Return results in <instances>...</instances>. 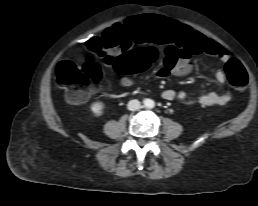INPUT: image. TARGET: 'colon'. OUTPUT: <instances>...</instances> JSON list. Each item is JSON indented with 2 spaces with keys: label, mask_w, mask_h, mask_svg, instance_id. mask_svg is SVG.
<instances>
[{
  "label": "colon",
  "mask_w": 258,
  "mask_h": 206,
  "mask_svg": "<svg viewBox=\"0 0 258 206\" xmlns=\"http://www.w3.org/2000/svg\"><path fill=\"white\" fill-rule=\"evenodd\" d=\"M119 34L123 33L118 28ZM93 52L87 56L81 65L65 60L56 68V82L65 89L66 98L72 104L83 103L103 82L101 63L114 67L124 74L140 73L147 70L156 59V51L143 48L114 57L105 52L99 40L91 41ZM225 74L229 83L237 90H244L248 84V75L243 65L234 58L225 64Z\"/></svg>",
  "instance_id": "colon-1"
}]
</instances>
